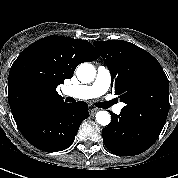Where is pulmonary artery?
Segmentation results:
<instances>
[{
  "label": "pulmonary artery",
  "mask_w": 178,
  "mask_h": 178,
  "mask_svg": "<svg viewBox=\"0 0 178 178\" xmlns=\"http://www.w3.org/2000/svg\"><path fill=\"white\" fill-rule=\"evenodd\" d=\"M111 86V73L105 66H99L95 80L90 85H74L63 88V93L80 100H89L105 94ZM110 106V105H109ZM123 105L118 104L113 107L115 113H119Z\"/></svg>",
  "instance_id": "e3ab8cb5"
}]
</instances>
